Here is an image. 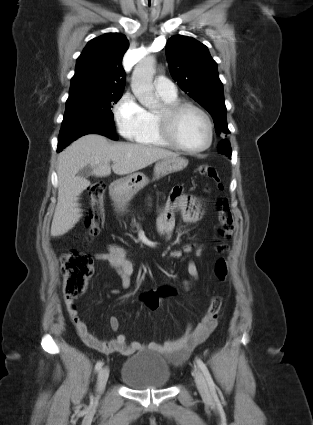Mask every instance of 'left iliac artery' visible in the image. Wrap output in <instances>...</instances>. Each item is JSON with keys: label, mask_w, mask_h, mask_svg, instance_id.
Masks as SVG:
<instances>
[{"label": "left iliac artery", "mask_w": 313, "mask_h": 425, "mask_svg": "<svg viewBox=\"0 0 313 425\" xmlns=\"http://www.w3.org/2000/svg\"><path fill=\"white\" fill-rule=\"evenodd\" d=\"M196 363H197L198 367L201 369L202 373L204 374V376L206 378V381L208 383V386H209V389H210L211 394L213 396H215L216 395V390H215L216 385H215V383H214V381H213V379L211 377V374H210L207 366L199 358H196Z\"/></svg>", "instance_id": "44dca946"}]
</instances>
